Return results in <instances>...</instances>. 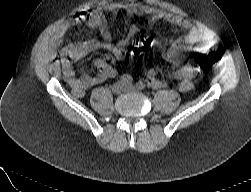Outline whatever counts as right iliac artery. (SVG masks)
<instances>
[{
  "instance_id": "1",
  "label": "right iliac artery",
  "mask_w": 251,
  "mask_h": 192,
  "mask_svg": "<svg viewBox=\"0 0 251 192\" xmlns=\"http://www.w3.org/2000/svg\"><path fill=\"white\" fill-rule=\"evenodd\" d=\"M120 80L123 84H131L133 79L130 75L124 74L120 77Z\"/></svg>"
}]
</instances>
